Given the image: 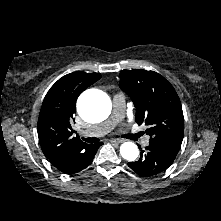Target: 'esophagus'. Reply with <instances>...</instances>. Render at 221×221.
Listing matches in <instances>:
<instances>
[{
    "label": "esophagus",
    "instance_id": "1",
    "mask_svg": "<svg viewBox=\"0 0 221 221\" xmlns=\"http://www.w3.org/2000/svg\"><path fill=\"white\" fill-rule=\"evenodd\" d=\"M110 142L114 143V144H121L123 142V140H121V139H111Z\"/></svg>",
    "mask_w": 221,
    "mask_h": 221
}]
</instances>
